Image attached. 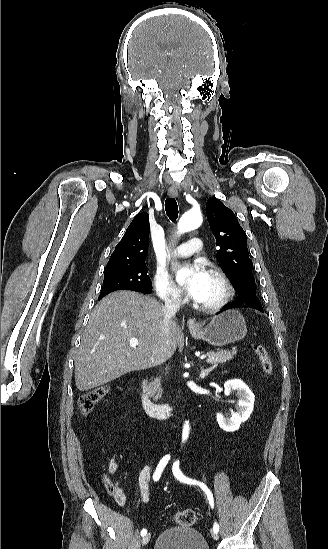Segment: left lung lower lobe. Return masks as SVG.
<instances>
[{
    "label": "left lung lower lobe",
    "mask_w": 328,
    "mask_h": 549,
    "mask_svg": "<svg viewBox=\"0 0 328 549\" xmlns=\"http://www.w3.org/2000/svg\"><path fill=\"white\" fill-rule=\"evenodd\" d=\"M243 306H244V307L254 308V309H257V310H259V311H261V312L264 311L260 302H258V303H252V304H245V303H243V302H241V301H236V302H234V303H231V304L226 305L222 310H220V311L218 312V314L221 313V312H223V311H225V310L231 309V308H237V307H243Z\"/></svg>",
    "instance_id": "1"
}]
</instances>
